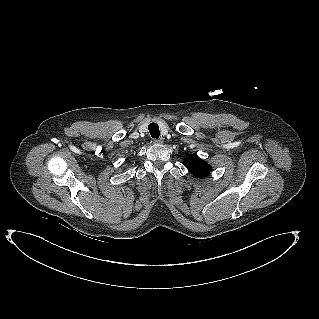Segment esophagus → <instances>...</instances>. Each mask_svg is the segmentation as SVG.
Masks as SVG:
<instances>
[{
	"instance_id": "esophagus-1",
	"label": "esophagus",
	"mask_w": 319,
	"mask_h": 319,
	"mask_svg": "<svg viewBox=\"0 0 319 319\" xmlns=\"http://www.w3.org/2000/svg\"><path fill=\"white\" fill-rule=\"evenodd\" d=\"M154 144H162L163 140L162 139H153Z\"/></svg>"
}]
</instances>
